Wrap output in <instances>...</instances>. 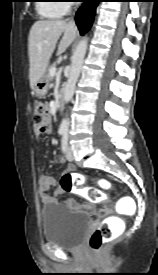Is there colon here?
I'll list each match as a JSON object with an SVG mask.
<instances>
[{
	"mask_svg": "<svg viewBox=\"0 0 158 275\" xmlns=\"http://www.w3.org/2000/svg\"><path fill=\"white\" fill-rule=\"evenodd\" d=\"M34 123L35 128L39 132H44L49 126V110L45 103L41 101H35L33 103ZM87 177L78 172L65 173L60 180V187L64 192H76L85 196L87 199L94 202H99L105 199V195L98 189L91 187H84ZM98 184L102 188H109L110 184L105 179L98 180ZM109 207H105L100 215L106 216L109 214ZM118 235V231L115 230L110 224L103 223L97 228L89 239V247L92 251L98 252L110 241L114 240Z\"/></svg>",
	"mask_w": 158,
	"mask_h": 275,
	"instance_id": "obj_1",
	"label": "colon"
}]
</instances>
